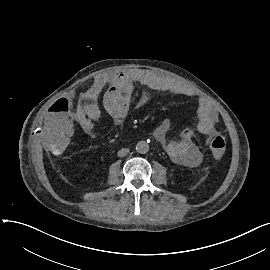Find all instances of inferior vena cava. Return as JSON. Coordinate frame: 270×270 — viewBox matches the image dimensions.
<instances>
[{"label":"inferior vena cava","mask_w":270,"mask_h":270,"mask_svg":"<svg viewBox=\"0 0 270 270\" xmlns=\"http://www.w3.org/2000/svg\"><path fill=\"white\" fill-rule=\"evenodd\" d=\"M129 153V149L127 148H122L121 150L118 151V156L119 157H124Z\"/></svg>","instance_id":"1"}]
</instances>
